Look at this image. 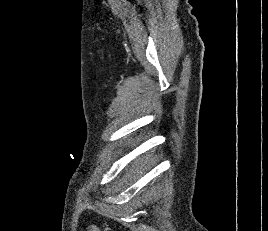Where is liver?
Segmentation results:
<instances>
[{"label":"liver","mask_w":268,"mask_h":231,"mask_svg":"<svg viewBox=\"0 0 268 231\" xmlns=\"http://www.w3.org/2000/svg\"><path fill=\"white\" fill-rule=\"evenodd\" d=\"M137 163H138V160L134 162V165H136V166H137Z\"/></svg>","instance_id":"6515ba94"}]
</instances>
